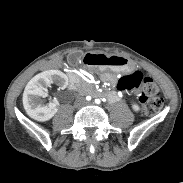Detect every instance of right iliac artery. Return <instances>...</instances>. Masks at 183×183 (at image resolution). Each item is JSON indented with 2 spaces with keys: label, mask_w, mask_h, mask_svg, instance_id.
<instances>
[{
  "label": "right iliac artery",
  "mask_w": 183,
  "mask_h": 183,
  "mask_svg": "<svg viewBox=\"0 0 183 183\" xmlns=\"http://www.w3.org/2000/svg\"><path fill=\"white\" fill-rule=\"evenodd\" d=\"M86 100L90 101L91 100V97L90 96H87L86 97Z\"/></svg>",
  "instance_id": "right-iliac-artery-1"
}]
</instances>
